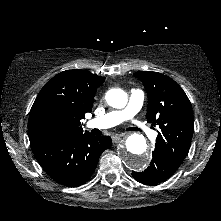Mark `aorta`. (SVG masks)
I'll return each instance as SVG.
<instances>
[{
  "label": "aorta",
  "mask_w": 221,
  "mask_h": 221,
  "mask_svg": "<svg viewBox=\"0 0 221 221\" xmlns=\"http://www.w3.org/2000/svg\"><path fill=\"white\" fill-rule=\"evenodd\" d=\"M106 102L117 109L124 108L127 104V93L121 89H110L106 93ZM122 163L131 170L141 171L149 163V153L146 139L141 134L133 133L125 140V145L119 150Z\"/></svg>",
  "instance_id": "aorta-1"
}]
</instances>
